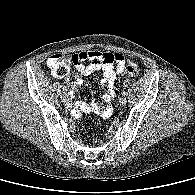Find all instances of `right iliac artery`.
<instances>
[{
	"instance_id": "obj_1",
	"label": "right iliac artery",
	"mask_w": 195,
	"mask_h": 195,
	"mask_svg": "<svg viewBox=\"0 0 195 195\" xmlns=\"http://www.w3.org/2000/svg\"><path fill=\"white\" fill-rule=\"evenodd\" d=\"M63 90H64V91H67V88H66V87H63Z\"/></svg>"
}]
</instances>
